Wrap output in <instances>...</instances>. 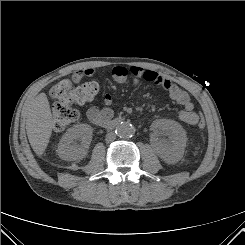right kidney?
Listing matches in <instances>:
<instances>
[{"instance_id":"obj_1","label":"right kidney","mask_w":245,"mask_h":245,"mask_svg":"<svg viewBox=\"0 0 245 245\" xmlns=\"http://www.w3.org/2000/svg\"><path fill=\"white\" fill-rule=\"evenodd\" d=\"M92 133L93 129L88 124H78L69 128L59 142V157L67 161L82 159L91 143Z\"/></svg>"}]
</instances>
